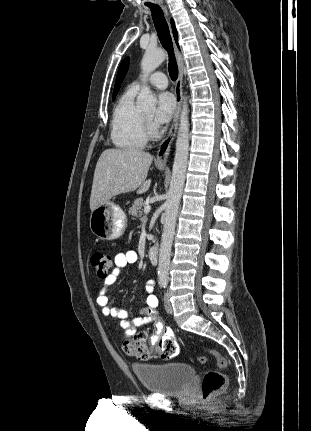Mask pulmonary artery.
Instances as JSON below:
<instances>
[{
  "label": "pulmonary artery",
  "instance_id": "1",
  "mask_svg": "<svg viewBox=\"0 0 311 431\" xmlns=\"http://www.w3.org/2000/svg\"><path fill=\"white\" fill-rule=\"evenodd\" d=\"M144 84H151L158 89H165L168 86V79L163 72L156 71L152 73L147 79L133 82L129 88L130 90L137 92Z\"/></svg>",
  "mask_w": 311,
  "mask_h": 431
}]
</instances>
